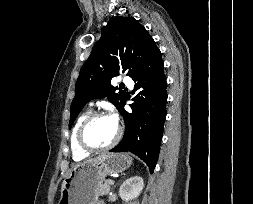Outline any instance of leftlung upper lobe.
<instances>
[{"instance_id": "left-lung-upper-lobe-1", "label": "left lung upper lobe", "mask_w": 253, "mask_h": 204, "mask_svg": "<svg viewBox=\"0 0 253 204\" xmlns=\"http://www.w3.org/2000/svg\"><path fill=\"white\" fill-rule=\"evenodd\" d=\"M155 45L148 31L133 17L117 16L103 29L88 60L82 66L71 104L69 129L84 105L94 98L108 97L118 110L125 95L110 83L111 79L126 72L131 78L142 68L150 49Z\"/></svg>"}]
</instances>
